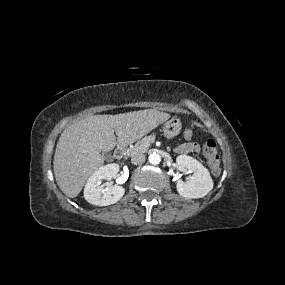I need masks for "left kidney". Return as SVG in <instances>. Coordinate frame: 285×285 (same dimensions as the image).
Segmentation results:
<instances>
[{"mask_svg": "<svg viewBox=\"0 0 285 285\" xmlns=\"http://www.w3.org/2000/svg\"><path fill=\"white\" fill-rule=\"evenodd\" d=\"M180 171L190 170L193 175L186 182L178 181L177 191L185 198H202L213 189V180L209 171L196 159L187 155L176 158Z\"/></svg>", "mask_w": 285, "mask_h": 285, "instance_id": "5707ae66", "label": "left kidney"}]
</instances>
